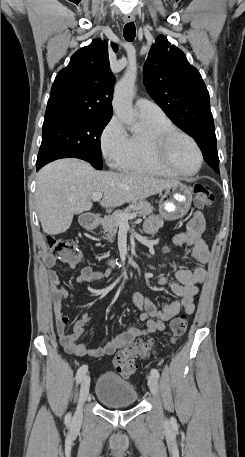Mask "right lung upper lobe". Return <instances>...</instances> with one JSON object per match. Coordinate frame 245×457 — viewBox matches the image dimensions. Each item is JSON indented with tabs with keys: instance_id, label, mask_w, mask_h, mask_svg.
<instances>
[{
	"instance_id": "right-lung-upper-lobe-1",
	"label": "right lung upper lobe",
	"mask_w": 245,
	"mask_h": 457,
	"mask_svg": "<svg viewBox=\"0 0 245 457\" xmlns=\"http://www.w3.org/2000/svg\"><path fill=\"white\" fill-rule=\"evenodd\" d=\"M109 65L107 41L93 40L79 49L57 74L46 113L87 111L112 116L115 77Z\"/></svg>"
}]
</instances>
